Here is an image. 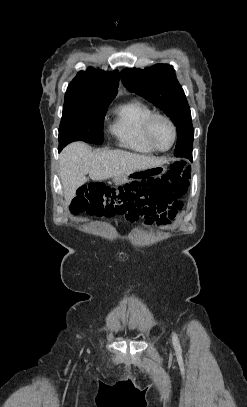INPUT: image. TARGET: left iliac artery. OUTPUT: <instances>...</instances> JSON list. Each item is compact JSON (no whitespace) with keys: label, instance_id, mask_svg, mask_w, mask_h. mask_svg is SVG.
<instances>
[{"label":"left iliac artery","instance_id":"44dca946","mask_svg":"<svg viewBox=\"0 0 247 407\" xmlns=\"http://www.w3.org/2000/svg\"><path fill=\"white\" fill-rule=\"evenodd\" d=\"M172 340H173V345H174L175 350L181 351V346H180L179 339H178L176 333H173Z\"/></svg>","mask_w":247,"mask_h":407}]
</instances>
